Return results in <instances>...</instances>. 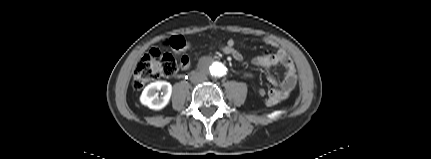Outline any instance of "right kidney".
<instances>
[{
  "instance_id": "obj_1",
  "label": "right kidney",
  "mask_w": 431,
  "mask_h": 159,
  "mask_svg": "<svg viewBox=\"0 0 431 159\" xmlns=\"http://www.w3.org/2000/svg\"><path fill=\"white\" fill-rule=\"evenodd\" d=\"M158 91H161L159 96ZM172 85L166 81H156L146 86L140 96V102L153 110L164 108L171 97Z\"/></svg>"
}]
</instances>
